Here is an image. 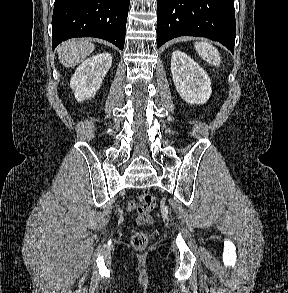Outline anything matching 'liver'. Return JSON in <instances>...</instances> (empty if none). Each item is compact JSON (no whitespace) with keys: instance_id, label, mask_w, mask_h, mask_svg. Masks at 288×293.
I'll use <instances>...</instances> for the list:
<instances>
[{"instance_id":"obj_1","label":"liver","mask_w":288,"mask_h":293,"mask_svg":"<svg viewBox=\"0 0 288 293\" xmlns=\"http://www.w3.org/2000/svg\"><path fill=\"white\" fill-rule=\"evenodd\" d=\"M94 49V44L87 40H68L58 46L57 52L61 64L70 68L81 63Z\"/></svg>"}]
</instances>
